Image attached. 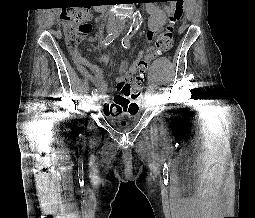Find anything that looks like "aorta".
<instances>
[{
    "label": "aorta",
    "instance_id": "762f6f07",
    "mask_svg": "<svg viewBox=\"0 0 255 218\" xmlns=\"http://www.w3.org/2000/svg\"><path fill=\"white\" fill-rule=\"evenodd\" d=\"M140 24H141V15L140 13L136 12L133 16V23L131 25V29L136 30Z\"/></svg>",
    "mask_w": 255,
    "mask_h": 218
}]
</instances>
